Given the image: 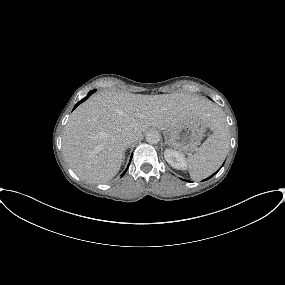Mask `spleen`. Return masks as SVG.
<instances>
[{"label": "spleen", "instance_id": "obj_1", "mask_svg": "<svg viewBox=\"0 0 285 285\" xmlns=\"http://www.w3.org/2000/svg\"><path fill=\"white\" fill-rule=\"evenodd\" d=\"M217 120L211 127L213 133L187 160L190 176L201 180L215 172L225 159L230 146V134L224 116L218 112Z\"/></svg>", "mask_w": 285, "mask_h": 285}]
</instances>
